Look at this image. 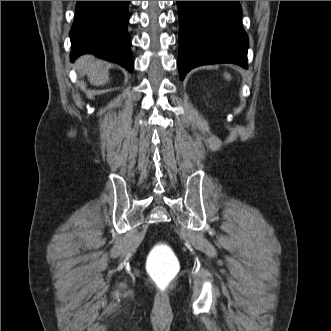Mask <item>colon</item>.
Listing matches in <instances>:
<instances>
[{"label": "colon", "mask_w": 331, "mask_h": 331, "mask_svg": "<svg viewBox=\"0 0 331 331\" xmlns=\"http://www.w3.org/2000/svg\"><path fill=\"white\" fill-rule=\"evenodd\" d=\"M147 271L159 290H167L177 278L180 265L172 249L163 243L151 250L147 260Z\"/></svg>", "instance_id": "colon-1"}]
</instances>
